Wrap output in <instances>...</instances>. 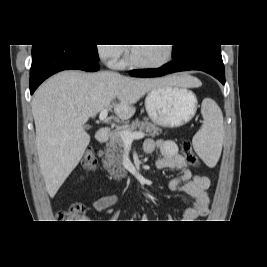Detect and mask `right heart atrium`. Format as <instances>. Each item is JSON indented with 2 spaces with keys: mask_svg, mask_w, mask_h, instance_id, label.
<instances>
[{
  "mask_svg": "<svg viewBox=\"0 0 267 267\" xmlns=\"http://www.w3.org/2000/svg\"><path fill=\"white\" fill-rule=\"evenodd\" d=\"M100 58L111 67L121 65V58L124 55V48L119 45H99L97 47Z\"/></svg>",
  "mask_w": 267,
  "mask_h": 267,
  "instance_id": "right-heart-atrium-1",
  "label": "right heart atrium"
}]
</instances>
